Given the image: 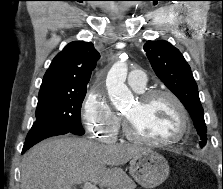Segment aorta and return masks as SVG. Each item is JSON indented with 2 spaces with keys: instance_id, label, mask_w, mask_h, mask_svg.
<instances>
[{
  "instance_id": "1",
  "label": "aorta",
  "mask_w": 223,
  "mask_h": 189,
  "mask_svg": "<svg viewBox=\"0 0 223 189\" xmlns=\"http://www.w3.org/2000/svg\"><path fill=\"white\" fill-rule=\"evenodd\" d=\"M127 71L126 63L116 62L107 75L108 95L117 110L126 109L133 102V95L125 84Z\"/></svg>"
}]
</instances>
